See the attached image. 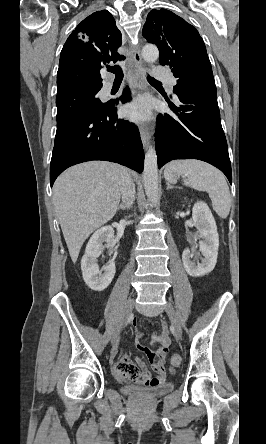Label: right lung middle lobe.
Here are the masks:
<instances>
[{
    "label": "right lung middle lobe",
    "instance_id": "dd1d6c3e",
    "mask_svg": "<svg viewBox=\"0 0 266 444\" xmlns=\"http://www.w3.org/2000/svg\"><path fill=\"white\" fill-rule=\"evenodd\" d=\"M97 93L98 90L85 91L57 97V129L76 118L92 116L104 109L107 103H102Z\"/></svg>",
    "mask_w": 266,
    "mask_h": 444
}]
</instances>
